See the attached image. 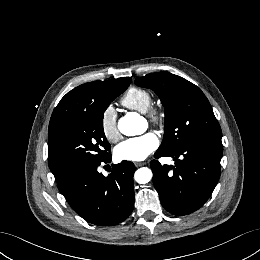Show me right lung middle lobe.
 <instances>
[{
	"label": "right lung middle lobe",
	"mask_w": 260,
	"mask_h": 260,
	"mask_svg": "<svg viewBox=\"0 0 260 260\" xmlns=\"http://www.w3.org/2000/svg\"><path fill=\"white\" fill-rule=\"evenodd\" d=\"M124 91L113 89L97 93L70 122L54 133L55 156L62 175L109 156L111 145L104 134L103 114Z\"/></svg>",
	"instance_id": "1"
}]
</instances>
